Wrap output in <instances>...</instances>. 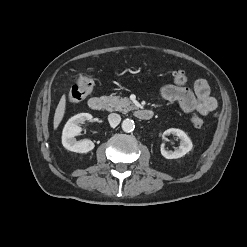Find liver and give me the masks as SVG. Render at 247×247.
<instances>
[{"label": "liver", "mask_w": 247, "mask_h": 247, "mask_svg": "<svg viewBox=\"0 0 247 247\" xmlns=\"http://www.w3.org/2000/svg\"><path fill=\"white\" fill-rule=\"evenodd\" d=\"M65 107H66V97L63 95L59 101V104L55 110L54 114V121H53V126L54 129H57L60 122L63 119L64 113H65Z\"/></svg>", "instance_id": "liver-1"}]
</instances>
